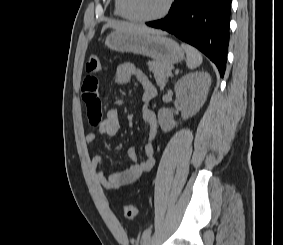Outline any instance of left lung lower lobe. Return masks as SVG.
Segmentation results:
<instances>
[{
	"mask_svg": "<svg viewBox=\"0 0 283 245\" xmlns=\"http://www.w3.org/2000/svg\"><path fill=\"white\" fill-rule=\"evenodd\" d=\"M231 0H175L169 14L146 25L174 34L203 52L224 76Z\"/></svg>",
	"mask_w": 283,
	"mask_h": 245,
	"instance_id": "left-lung-lower-lobe-1",
	"label": "left lung lower lobe"
}]
</instances>
